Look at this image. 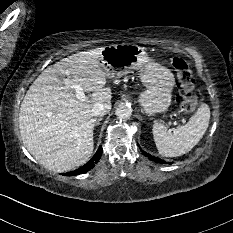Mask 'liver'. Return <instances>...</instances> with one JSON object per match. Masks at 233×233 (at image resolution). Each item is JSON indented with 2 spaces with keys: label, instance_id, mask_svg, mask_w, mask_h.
I'll list each match as a JSON object with an SVG mask.
<instances>
[{
  "label": "liver",
  "instance_id": "6515ba94",
  "mask_svg": "<svg viewBox=\"0 0 233 233\" xmlns=\"http://www.w3.org/2000/svg\"><path fill=\"white\" fill-rule=\"evenodd\" d=\"M104 47L78 52L48 66L29 87L20 107L23 144L45 168L65 172L86 163L93 153L96 119L92 108L110 103L106 73L100 64ZM69 84H65V81ZM93 92L80 101L71 88Z\"/></svg>",
  "mask_w": 233,
  "mask_h": 233
}]
</instances>
